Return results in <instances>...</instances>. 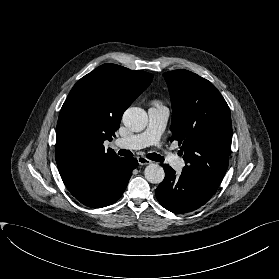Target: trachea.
Instances as JSON below:
<instances>
[{
  "instance_id": "1",
  "label": "trachea",
  "mask_w": 279,
  "mask_h": 279,
  "mask_svg": "<svg viewBox=\"0 0 279 279\" xmlns=\"http://www.w3.org/2000/svg\"><path fill=\"white\" fill-rule=\"evenodd\" d=\"M118 154L125 157H132L133 153L129 150L121 149L118 151ZM147 158L156 162H163L164 158L156 153H150L147 155Z\"/></svg>"
}]
</instances>
